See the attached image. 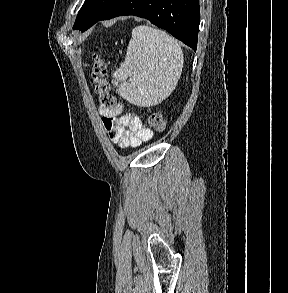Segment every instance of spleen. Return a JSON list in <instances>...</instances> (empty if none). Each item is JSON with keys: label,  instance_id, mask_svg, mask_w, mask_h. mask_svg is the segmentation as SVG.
I'll list each match as a JSON object with an SVG mask.
<instances>
[{"label": "spleen", "instance_id": "3e777b00", "mask_svg": "<svg viewBox=\"0 0 288 293\" xmlns=\"http://www.w3.org/2000/svg\"><path fill=\"white\" fill-rule=\"evenodd\" d=\"M183 63L182 49L173 37L140 25L132 31L125 61L113 73V84L121 83L117 92L130 103L153 106L175 89Z\"/></svg>", "mask_w": 288, "mask_h": 293}]
</instances>
